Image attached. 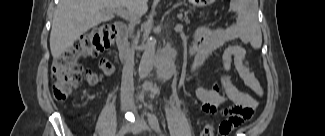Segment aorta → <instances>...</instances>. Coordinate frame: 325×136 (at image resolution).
<instances>
[{"instance_id": "762f6f07", "label": "aorta", "mask_w": 325, "mask_h": 136, "mask_svg": "<svg viewBox=\"0 0 325 136\" xmlns=\"http://www.w3.org/2000/svg\"><path fill=\"white\" fill-rule=\"evenodd\" d=\"M151 27V20L147 22V29L144 33V52L141 57V61L139 64V78L145 79L151 72L155 60V52H156V41L153 37L149 36Z\"/></svg>"}]
</instances>
